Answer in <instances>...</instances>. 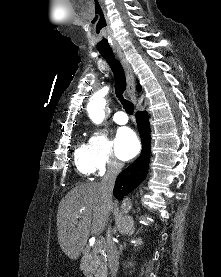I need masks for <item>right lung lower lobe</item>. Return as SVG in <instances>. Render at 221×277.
Instances as JSON below:
<instances>
[{
  "label": "right lung lower lobe",
  "instance_id": "1",
  "mask_svg": "<svg viewBox=\"0 0 221 277\" xmlns=\"http://www.w3.org/2000/svg\"><path fill=\"white\" fill-rule=\"evenodd\" d=\"M136 121L141 136L142 151L136 161L117 177L113 193L118 199H123L125 195L136 188L146 178L148 172L151 138L147 112L138 111L136 113Z\"/></svg>",
  "mask_w": 221,
  "mask_h": 277
}]
</instances>
